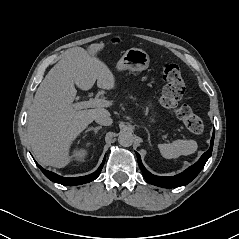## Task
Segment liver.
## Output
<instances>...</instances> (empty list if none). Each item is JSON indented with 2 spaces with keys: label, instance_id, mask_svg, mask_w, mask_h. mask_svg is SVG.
Instances as JSON below:
<instances>
[{
  "label": "liver",
  "instance_id": "obj_1",
  "mask_svg": "<svg viewBox=\"0 0 239 239\" xmlns=\"http://www.w3.org/2000/svg\"><path fill=\"white\" fill-rule=\"evenodd\" d=\"M104 44L88 49L76 47L48 72L39 85L29 111L27 134L37 160L45 166L63 168L70 162L69 149L75 138L103 108L76 110L73 101L77 90L97 86L110 90L115 77L97 58Z\"/></svg>",
  "mask_w": 239,
  "mask_h": 239
}]
</instances>
